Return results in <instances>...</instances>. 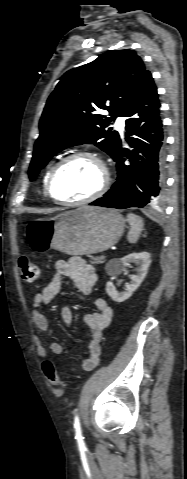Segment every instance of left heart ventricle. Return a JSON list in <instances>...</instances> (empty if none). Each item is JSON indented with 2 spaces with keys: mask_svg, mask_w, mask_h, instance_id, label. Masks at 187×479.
Segmentation results:
<instances>
[{
  "mask_svg": "<svg viewBox=\"0 0 187 479\" xmlns=\"http://www.w3.org/2000/svg\"><path fill=\"white\" fill-rule=\"evenodd\" d=\"M100 166L88 158L65 164L53 181V193L61 200H79L94 193L102 182Z\"/></svg>",
  "mask_w": 187,
  "mask_h": 479,
  "instance_id": "1",
  "label": "left heart ventricle"
}]
</instances>
